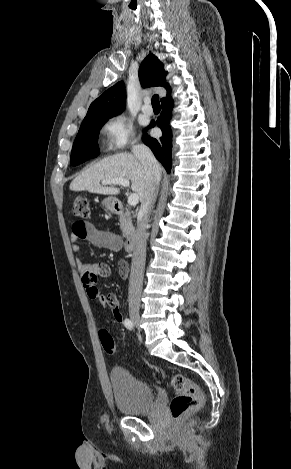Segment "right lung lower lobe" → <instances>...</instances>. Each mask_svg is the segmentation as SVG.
<instances>
[{"mask_svg": "<svg viewBox=\"0 0 291 469\" xmlns=\"http://www.w3.org/2000/svg\"><path fill=\"white\" fill-rule=\"evenodd\" d=\"M161 102L162 113L156 122H151L148 128H152L157 125L162 130V137L155 139L144 133L142 141L152 150L155 157L162 163L166 171L170 173L172 167V133L169 127V120L172 116V109L174 104L170 95L162 99Z\"/></svg>", "mask_w": 291, "mask_h": 469, "instance_id": "1", "label": "right lung lower lobe"}]
</instances>
